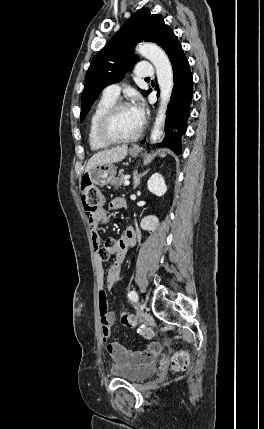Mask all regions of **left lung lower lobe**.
I'll use <instances>...</instances> for the list:
<instances>
[{"label":"left lung lower lobe","mask_w":264,"mask_h":429,"mask_svg":"<svg viewBox=\"0 0 264 429\" xmlns=\"http://www.w3.org/2000/svg\"><path fill=\"white\" fill-rule=\"evenodd\" d=\"M161 47L171 61L174 86L168 104L165 124L166 137L158 145L181 154V137L186 132L193 96L192 74L181 44L172 30L166 34Z\"/></svg>","instance_id":"left-lung-lower-lobe-1"}]
</instances>
